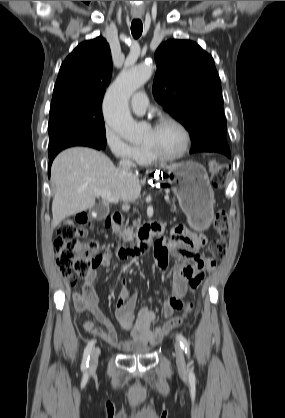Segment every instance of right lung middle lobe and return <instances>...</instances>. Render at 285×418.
<instances>
[{"label": "right lung middle lobe", "instance_id": "obj_1", "mask_svg": "<svg viewBox=\"0 0 285 418\" xmlns=\"http://www.w3.org/2000/svg\"><path fill=\"white\" fill-rule=\"evenodd\" d=\"M49 157L71 145L90 142L106 147L101 105L61 102L51 104Z\"/></svg>", "mask_w": 285, "mask_h": 418}]
</instances>
